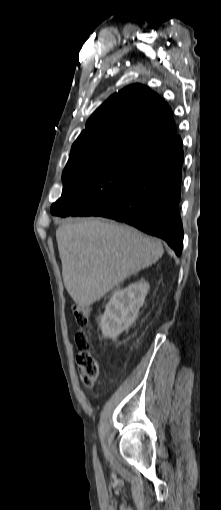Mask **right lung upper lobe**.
Here are the masks:
<instances>
[{
	"instance_id": "obj_1",
	"label": "right lung upper lobe",
	"mask_w": 221,
	"mask_h": 510,
	"mask_svg": "<svg viewBox=\"0 0 221 510\" xmlns=\"http://www.w3.org/2000/svg\"><path fill=\"white\" fill-rule=\"evenodd\" d=\"M176 137L168 104L149 88L133 84L92 114L72 145L69 160L130 146L152 151Z\"/></svg>"
}]
</instances>
